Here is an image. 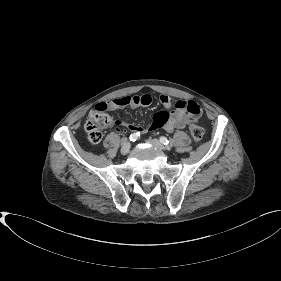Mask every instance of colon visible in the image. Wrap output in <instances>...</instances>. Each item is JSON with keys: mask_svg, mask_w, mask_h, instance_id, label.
Masks as SVG:
<instances>
[{"mask_svg": "<svg viewBox=\"0 0 281 281\" xmlns=\"http://www.w3.org/2000/svg\"><path fill=\"white\" fill-rule=\"evenodd\" d=\"M114 121L103 109L92 110L85 123L88 140L92 144H98L103 138V131L111 128ZM190 134L195 142H200L204 137V130L196 124L190 126Z\"/></svg>", "mask_w": 281, "mask_h": 281, "instance_id": "1", "label": "colon"}]
</instances>
